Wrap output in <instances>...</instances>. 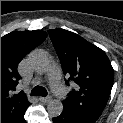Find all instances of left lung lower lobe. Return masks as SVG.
<instances>
[{"label":"left lung lower lobe","mask_w":123,"mask_h":123,"mask_svg":"<svg viewBox=\"0 0 123 123\" xmlns=\"http://www.w3.org/2000/svg\"><path fill=\"white\" fill-rule=\"evenodd\" d=\"M53 123H91V122L80 119L72 115L68 110L63 109V112L61 115L53 118Z\"/></svg>","instance_id":"1"}]
</instances>
